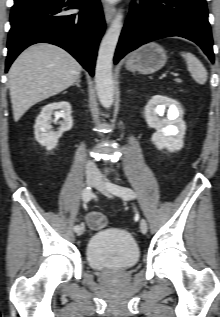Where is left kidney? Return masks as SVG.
Returning <instances> with one entry per match:
<instances>
[{
	"label": "left kidney",
	"mask_w": 220,
	"mask_h": 317,
	"mask_svg": "<svg viewBox=\"0 0 220 317\" xmlns=\"http://www.w3.org/2000/svg\"><path fill=\"white\" fill-rule=\"evenodd\" d=\"M166 107L167 117L160 118L164 115ZM144 114L148 126L156 129L151 139L159 150H181L186 126L182 120L181 110L174 100L163 95H154L145 106Z\"/></svg>",
	"instance_id": "5707ae66"
}]
</instances>
